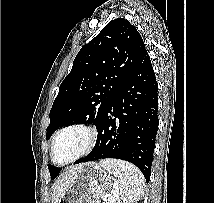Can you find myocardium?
Wrapping results in <instances>:
<instances>
[{"label":"myocardium","instance_id":"1","mask_svg":"<svg viewBox=\"0 0 214 203\" xmlns=\"http://www.w3.org/2000/svg\"><path fill=\"white\" fill-rule=\"evenodd\" d=\"M71 129L84 130L88 135V142H87L85 148L79 154H77L75 157H73L70 160L65 161V162H57L55 159V146H56L57 140L64 132L71 130ZM97 138H98L97 130L88 124L72 123V124L66 125V126L62 127L60 130H58L53 137L52 144H51V151H50L51 160L55 164H58V165H68L73 162H76L77 160L83 158L84 156H86L93 150V148L96 145Z\"/></svg>","mask_w":214,"mask_h":203}]
</instances>
